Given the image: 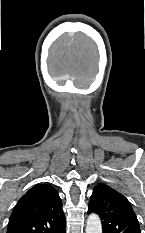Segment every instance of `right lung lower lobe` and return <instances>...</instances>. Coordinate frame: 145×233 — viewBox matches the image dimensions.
<instances>
[{"instance_id":"98d812e1","label":"right lung lower lobe","mask_w":145,"mask_h":233,"mask_svg":"<svg viewBox=\"0 0 145 233\" xmlns=\"http://www.w3.org/2000/svg\"><path fill=\"white\" fill-rule=\"evenodd\" d=\"M54 233H65V224L59 227Z\"/></svg>"}]
</instances>
